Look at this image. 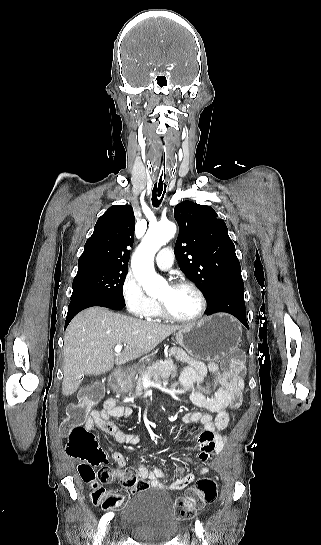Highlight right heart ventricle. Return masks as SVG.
<instances>
[{
	"label": "right heart ventricle",
	"mask_w": 321,
	"mask_h": 545,
	"mask_svg": "<svg viewBox=\"0 0 321 545\" xmlns=\"http://www.w3.org/2000/svg\"><path fill=\"white\" fill-rule=\"evenodd\" d=\"M152 321H161L164 320V316L160 312L159 308H157L153 314V316L150 318Z\"/></svg>",
	"instance_id": "obj_1"
}]
</instances>
